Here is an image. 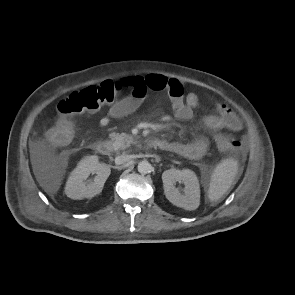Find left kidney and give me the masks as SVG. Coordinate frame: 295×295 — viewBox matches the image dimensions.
<instances>
[{
	"label": "left kidney",
	"mask_w": 295,
	"mask_h": 295,
	"mask_svg": "<svg viewBox=\"0 0 295 295\" xmlns=\"http://www.w3.org/2000/svg\"><path fill=\"white\" fill-rule=\"evenodd\" d=\"M162 181L166 198L175 206L195 210L200 204V186L196 174L190 169H169L163 172ZM184 183V194L175 187V182Z\"/></svg>",
	"instance_id": "1"
}]
</instances>
